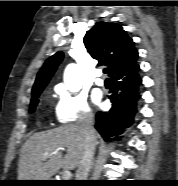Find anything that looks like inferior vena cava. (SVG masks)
Returning a JSON list of instances; mask_svg holds the SVG:
<instances>
[{
	"instance_id": "inferior-vena-cava-1",
	"label": "inferior vena cava",
	"mask_w": 178,
	"mask_h": 186,
	"mask_svg": "<svg viewBox=\"0 0 178 186\" xmlns=\"http://www.w3.org/2000/svg\"><path fill=\"white\" fill-rule=\"evenodd\" d=\"M81 132L84 136V152L76 171V180H87L96 147L95 131L93 128V114L86 113L80 121Z\"/></svg>"
}]
</instances>
